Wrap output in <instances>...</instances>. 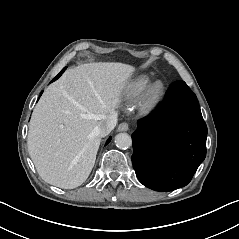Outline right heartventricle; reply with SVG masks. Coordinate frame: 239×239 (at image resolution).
Here are the masks:
<instances>
[{"mask_svg": "<svg viewBox=\"0 0 239 239\" xmlns=\"http://www.w3.org/2000/svg\"><path fill=\"white\" fill-rule=\"evenodd\" d=\"M153 79V76L147 73L141 74L132 79L124 90L125 99L128 101H133L139 98L153 81Z\"/></svg>", "mask_w": 239, "mask_h": 239, "instance_id": "right-heart-ventricle-1", "label": "right heart ventricle"}]
</instances>
